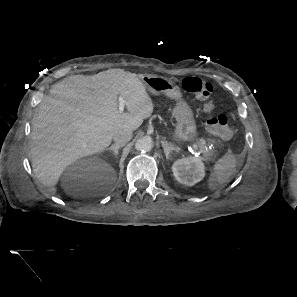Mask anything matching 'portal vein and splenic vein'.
I'll use <instances>...</instances> for the list:
<instances>
[{
  "label": "portal vein and splenic vein",
  "instance_id": "portal-vein-and-splenic-vein-1",
  "mask_svg": "<svg viewBox=\"0 0 297 297\" xmlns=\"http://www.w3.org/2000/svg\"><path fill=\"white\" fill-rule=\"evenodd\" d=\"M118 100H119V112L122 113V112L124 111V107H125V105H126V101H125L124 98L121 97V96L118 97ZM192 147H193V149H194L195 151H198V147H197V145H193Z\"/></svg>",
  "mask_w": 297,
  "mask_h": 297
}]
</instances>
